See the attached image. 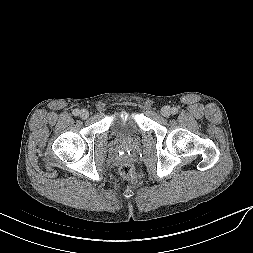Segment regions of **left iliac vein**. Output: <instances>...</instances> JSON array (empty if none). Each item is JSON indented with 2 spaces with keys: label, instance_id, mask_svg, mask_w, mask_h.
Wrapping results in <instances>:
<instances>
[{
  "label": "left iliac vein",
  "instance_id": "1",
  "mask_svg": "<svg viewBox=\"0 0 253 253\" xmlns=\"http://www.w3.org/2000/svg\"><path fill=\"white\" fill-rule=\"evenodd\" d=\"M161 114L164 116V117H169L171 115V108L169 106H164L162 107L161 109Z\"/></svg>",
  "mask_w": 253,
  "mask_h": 253
}]
</instances>
